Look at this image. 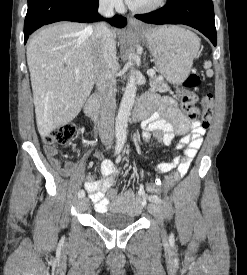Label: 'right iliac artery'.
<instances>
[{"label": "right iliac artery", "instance_id": "right-iliac-artery-1", "mask_svg": "<svg viewBox=\"0 0 247 275\" xmlns=\"http://www.w3.org/2000/svg\"><path fill=\"white\" fill-rule=\"evenodd\" d=\"M123 143L122 142H117L116 148H115V153L118 154L121 149H122ZM85 196L84 190H79L78 192V197L83 198Z\"/></svg>", "mask_w": 247, "mask_h": 275}]
</instances>
